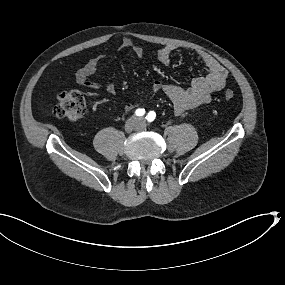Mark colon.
I'll use <instances>...</instances> for the list:
<instances>
[{
  "label": "colon",
  "mask_w": 285,
  "mask_h": 285,
  "mask_svg": "<svg viewBox=\"0 0 285 285\" xmlns=\"http://www.w3.org/2000/svg\"><path fill=\"white\" fill-rule=\"evenodd\" d=\"M224 98L231 100L234 98L232 90L224 92ZM85 99L83 95L76 90L63 91L58 95L57 103L54 106V114L69 121H77L85 114Z\"/></svg>",
  "instance_id": "1"
}]
</instances>
